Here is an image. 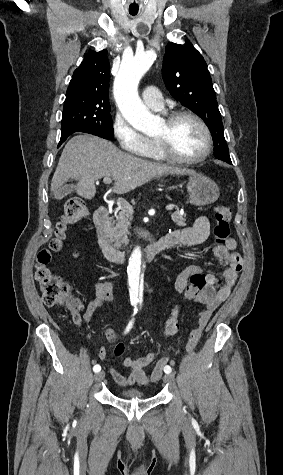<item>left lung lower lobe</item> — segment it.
Returning a JSON list of instances; mask_svg holds the SVG:
<instances>
[{"instance_id":"0a47b994","label":"left lung lower lobe","mask_w":283,"mask_h":475,"mask_svg":"<svg viewBox=\"0 0 283 475\" xmlns=\"http://www.w3.org/2000/svg\"><path fill=\"white\" fill-rule=\"evenodd\" d=\"M212 137L214 142L215 157L231 164L229 150L224 138V134H216L212 135Z\"/></svg>"}]
</instances>
